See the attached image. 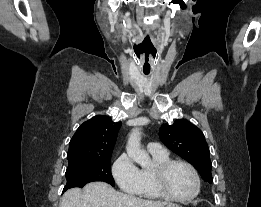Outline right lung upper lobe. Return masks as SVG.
Here are the masks:
<instances>
[{
	"label": "right lung upper lobe",
	"instance_id": "obj_1",
	"mask_svg": "<svg viewBox=\"0 0 261 207\" xmlns=\"http://www.w3.org/2000/svg\"><path fill=\"white\" fill-rule=\"evenodd\" d=\"M120 127L105 115L84 122L70 141L68 163L111 157Z\"/></svg>",
	"mask_w": 261,
	"mask_h": 207
}]
</instances>
